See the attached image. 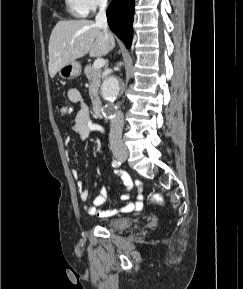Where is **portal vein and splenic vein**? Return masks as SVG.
I'll list each match as a JSON object with an SVG mask.
<instances>
[{"mask_svg":"<svg viewBox=\"0 0 243 289\" xmlns=\"http://www.w3.org/2000/svg\"><path fill=\"white\" fill-rule=\"evenodd\" d=\"M104 65H105V60L102 59V58L96 59V60L94 61V64H93V66H94L95 68H97V69H100V68L104 67Z\"/></svg>","mask_w":243,"mask_h":289,"instance_id":"18ae733b","label":"portal vein and splenic vein"}]
</instances>
